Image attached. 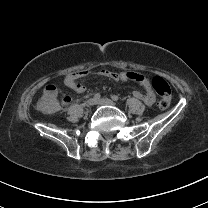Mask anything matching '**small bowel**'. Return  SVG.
<instances>
[{"instance_id":"1","label":"small bowel","mask_w":208,"mask_h":208,"mask_svg":"<svg viewBox=\"0 0 208 208\" xmlns=\"http://www.w3.org/2000/svg\"><path fill=\"white\" fill-rule=\"evenodd\" d=\"M100 74L103 77L108 78V79L120 80V81L132 80V81L137 82L138 84L142 86V88L144 89V92L135 91L133 93L134 97L142 100L148 106H151L155 102V95L151 90L148 80L143 75L137 74V73L116 72L112 70H102ZM86 76H87L86 71H78V72L71 73L66 76L65 84L67 87L74 90L75 92L83 93L85 91V87L79 82V80ZM50 87H53V86L50 85Z\"/></svg>"}]
</instances>
